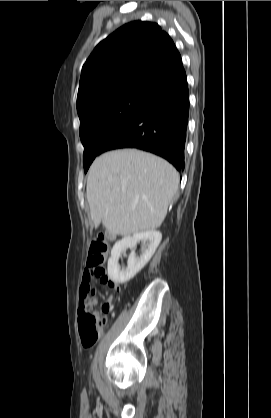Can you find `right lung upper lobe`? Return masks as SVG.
<instances>
[{
    "instance_id": "1",
    "label": "right lung upper lobe",
    "mask_w": 271,
    "mask_h": 418,
    "mask_svg": "<svg viewBox=\"0 0 271 418\" xmlns=\"http://www.w3.org/2000/svg\"><path fill=\"white\" fill-rule=\"evenodd\" d=\"M184 73L180 53L158 24L128 23L101 41L83 65L77 111L122 94L151 100Z\"/></svg>"
}]
</instances>
